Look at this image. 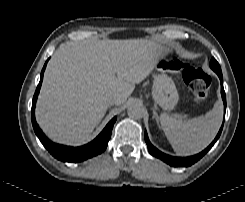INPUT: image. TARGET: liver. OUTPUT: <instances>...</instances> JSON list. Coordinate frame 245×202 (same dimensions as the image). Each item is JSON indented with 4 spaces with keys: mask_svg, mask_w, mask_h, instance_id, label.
I'll list each match as a JSON object with an SVG mask.
<instances>
[{
    "mask_svg": "<svg viewBox=\"0 0 245 202\" xmlns=\"http://www.w3.org/2000/svg\"><path fill=\"white\" fill-rule=\"evenodd\" d=\"M164 48L147 39L84 41L62 44L46 68L36 119L54 142L86 141L104 117L107 97L126 102L156 67Z\"/></svg>",
    "mask_w": 245,
    "mask_h": 202,
    "instance_id": "6515ba94",
    "label": "liver"
}]
</instances>
